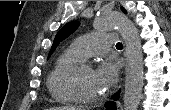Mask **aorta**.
<instances>
[{
  "label": "aorta",
  "mask_w": 171,
  "mask_h": 110,
  "mask_svg": "<svg viewBox=\"0 0 171 110\" xmlns=\"http://www.w3.org/2000/svg\"><path fill=\"white\" fill-rule=\"evenodd\" d=\"M97 30H117L126 44L127 66L124 85V110H137L143 88V53L138 30L133 22L120 13L100 15L95 21Z\"/></svg>",
  "instance_id": "762f6f07"
}]
</instances>
